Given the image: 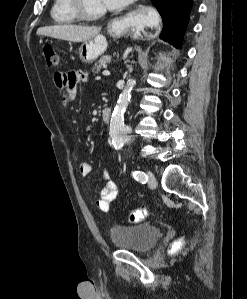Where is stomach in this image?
<instances>
[{"mask_svg": "<svg viewBox=\"0 0 247 299\" xmlns=\"http://www.w3.org/2000/svg\"><path fill=\"white\" fill-rule=\"evenodd\" d=\"M127 31L124 20L115 21L108 25V33L113 38H118ZM107 49V41L104 36L98 35L86 42L79 48V58L82 63L90 64L100 57Z\"/></svg>", "mask_w": 247, "mask_h": 299, "instance_id": "obj_1", "label": "stomach"}]
</instances>
